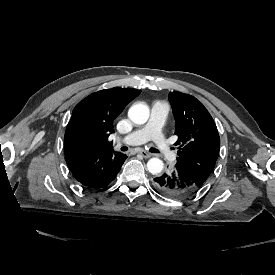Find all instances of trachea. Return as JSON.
Returning a JSON list of instances; mask_svg holds the SVG:
<instances>
[{
    "mask_svg": "<svg viewBox=\"0 0 275 275\" xmlns=\"http://www.w3.org/2000/svg\"><path fill=\"white\" fill-rule=\"evenodd\" d=\"M122 150H123V151H126L127 148H126V147H123ZM150 151L153 152V153H158V152H159V151H158L157 149H155V148H152Z\"/></svg>",
    "mask_w": 275,
    "mask_h": 275,
    "instance_id": "trachea-1",
    "label": "trachea"
}]
</instances>
